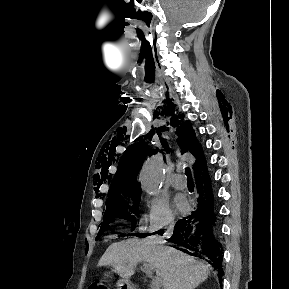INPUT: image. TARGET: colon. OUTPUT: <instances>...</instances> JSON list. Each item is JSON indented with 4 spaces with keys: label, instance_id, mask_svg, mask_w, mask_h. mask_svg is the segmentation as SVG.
<instances>
[{
    "label": "colon",
    "instance_id": "1",
    "mask_svg": "<svg viewBox=\"0 0 289 289\" xmlns=\"http://www.w3.org/2000/svg\"><path fill=\"white\" fill-rule=\"evenodd\" d=\"M89 289H109L103 281H94L89 286Z\"/></svg>",
    "mask_w": 289,
    "mask_h": 289
}]
</instances>
